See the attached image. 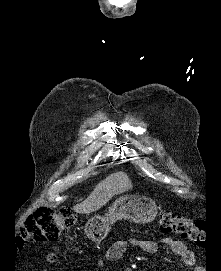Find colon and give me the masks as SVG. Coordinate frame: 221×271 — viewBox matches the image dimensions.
Segmentation results:
<instances>
[{"label":"colon","instance_id":"5ec220e1","mask_svg":"<svg viewBox=\"0 0 221 271\" xmlns=\"http://www.w3.org/2000/svg\"><path fill=\"white\" fill-rule=\"evenodd\" d=\"M77 215L68 206L58 212L49 206L35 209L26 219L25 227L18 234V242H51L69 232ZM161 229L180 235L184 239L203 245L206 241L204 225L194 219L163 211L160 216ZM49 262L56 260L54 253L47 256Z\"/></svg>","mask_w":221,"mask_h":271}]
</instances>
